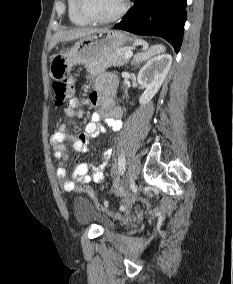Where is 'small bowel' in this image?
<instances>
[{"label":"small bowel","mask_w":233,"mask_h":284,"mask_svg":"<svg viewBox=\"0 0 233 284\" xmlns=\"http://www.w3.org/2000/svg\"><path fill=\"white\" fill-rule=\"evenodd\" d=\"M95 88L98 92L90 94V103L99 108V112L94 113L89 123L85 127L84 133L79 137L72 139L67 134V127L61 124L58 130L50 138V146L54 153V158L58 162L56 171L57 179L61 182L63 189L67 192L73 191L78 183H100L103 180V170L110 159L111 150L103 153L102 162L97 166L88 163H78L72 168V180H67V166L64 160L67 157V147L64 144L66 140H71L76 150L86 148L93 137L105 129V126L113 131H119L122 128V122L119 119V110L113 105L111 96L115 91L117 81L111 74L101 75L96 78ZM67 117H82L83 110L80 109V103L77 98H72L64 109Z\"/></svg>","instance_id":"c3829d8e"}]
</instances>
